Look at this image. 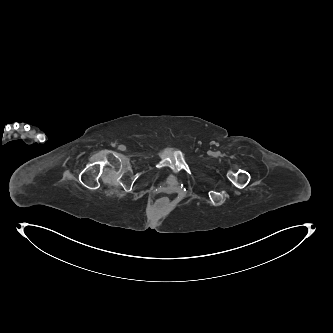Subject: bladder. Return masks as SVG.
Returning a JSON list of instances; mask_svg holds the SVG:
<instances>
[{"label":"bladder","mask_w":333,"mask_h":333,"mask_svg":"<svg viewBox=\"0 0 333 333\" xmlns=\"http://www.w3.org/2000/svg\"><path fill=\"white\" fill-rule=\"evenodd\" d=\"M177 179H178L177 175H175V174H173V173H169V174L167 175V181H168L169 183H175V182L177 181Z\"/></svg>","instance_id":"1"}]
</instances>
